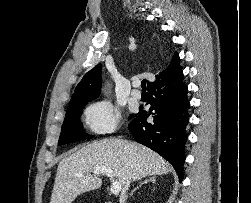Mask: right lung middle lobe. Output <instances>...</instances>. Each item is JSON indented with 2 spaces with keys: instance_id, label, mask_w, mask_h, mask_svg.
<instances>
[{
  "instance_id": "obj_1",
  "label": "right lung middle lobe",
  "mask_w": 251,
  "mask_h": 203,
  "mask_svg": "<svg viewBox=\"0 0 251 203\" xmlns=\"http://www.w3.org/2000/svg\"><path fill=\"white\" fill-rule=\"evenodd\" d=\"M87 102L89 101L69 104L66 112V117L61 128V134L58 141L59 145L72 143L91 137L90 135L84 133L83 125L80 121L83 108L87 104ZM132 116L133 115H131V117Z\"/></svg>"
}]
</instances>
